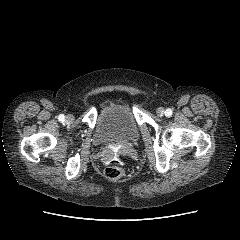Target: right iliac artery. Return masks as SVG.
<instances>
[{
    "label": "right iliac artery",
    "mask_w": 240,
    "mask_h": 240,
    "mask_svg": "<svg viewBox=\"0 0 240 240\" xmlns=\"http://www.w3.org/2000/svg\"><path fill=\"white\" fill-rule=\"evenodd\" d=\"M58 119L60 122H63V121H65V116L63 114H60Z\"/></svg>",
    "instance_id": "1"
}]
</instances>
